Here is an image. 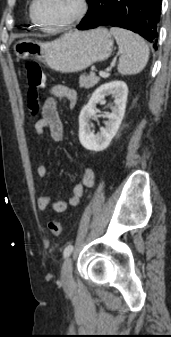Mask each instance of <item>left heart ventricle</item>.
I'll use <instances>...</instances> for the list:
<instances>
[{"label":"left heart ventricle","instance_id":"obj_1","mask_svg":"<svg viewBox=\"0 0 171 337\" xmlns=\"http://www.w3.org/2000/svg\"><path fill=\"white\" fill-rule=\"evenodd\" d=\"M78 10V0H39L36 12L39 19L47 25L66 22Z\"/></svg>","mask_w":171,"mask_h":337}]
</instances>
